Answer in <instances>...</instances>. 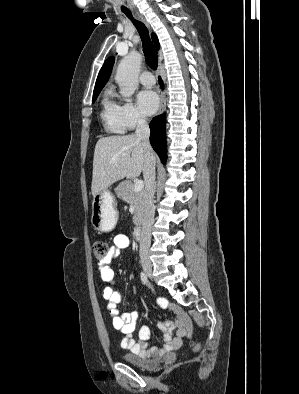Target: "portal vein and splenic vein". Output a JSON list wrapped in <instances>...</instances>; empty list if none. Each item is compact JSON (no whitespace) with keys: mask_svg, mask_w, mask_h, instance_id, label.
<instances>
[{"mask_svg":"<svg viewBox=\"0 0 299 394\" xmlns=\"http://www.w3.org/2000/svg\"><path fill=\"white\" fill-rule=\"evenodd\" d=\"M143 188H144V183H143V181H142V180H137V181L135 182V184H134L133 191H134V192H140V191L143 190Z\"/></svg>","mask_w":299,"mask_h":394,"instance_id":"portal-vein-and-splenic-vein-1","label":"portal vein and splenic vein"}]
</instances>
